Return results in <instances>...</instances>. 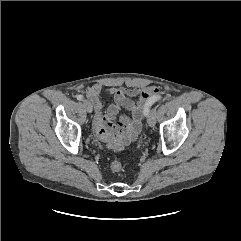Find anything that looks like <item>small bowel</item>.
<instances>
[{
    "mask_svg": "<svg viewBox=\"0 0 241 241\" xmlns=\"http://www.w3.org/2000/svg\"><path fill=\"white\" fill-rule=\"evenodd\" d=\"M102 85L87 87L85 95L95 108L94 127L100 140L118 149L134 141L140 132L144 108L161 93L159 87H117L107 90L112 103L105 106L101 99ZM125 109L129 116L120 115Z\"/></svg>",
    "mask_w": 241,
    "mask_h": 241,
    "instance_id": "1",
    "label": "small bowel"
}]
</instances>
